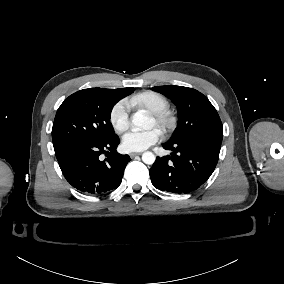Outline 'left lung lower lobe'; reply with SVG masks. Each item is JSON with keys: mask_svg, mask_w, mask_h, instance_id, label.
Segmentation results:
<instances>
[{"mask_svg": "<svg viewBox=\"0 0 284 284\" xmlns=\"http://www.w3.org/2000/svg\"><path fill=\"white\" fill-rule=\"evenodd\" d=\"M171 156L157 157L150 169L151 182L161 191L186 194L199 188L213 173L221 142L207 138H190L177 143L166 142Z\"/></svg>", "mask_w": 284, "mask_h": 284, "instance_id": "left-lung-lower-lobe-1", "label": "left lung lower lobe"}]
</instances>
